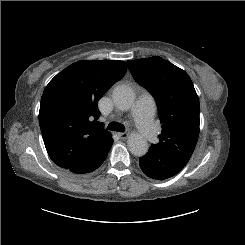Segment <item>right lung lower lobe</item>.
<instances>
[{"label": "right lung lower lobe", "instance_id": "98d812e1", "mask_svg": "<svg viewBox=\"0 0 245 245\" xmlns=\"http://www.w3.org/2000/svg\"><path fill=\"white\" fill-rule=\"evenodd\" d=\"M112 144L113 139L110 135L98 144L81 163L66 170L74 175H84L96 170L106 159Z\"/></svg>", "mask_w": 245, "mask_h": 245}]
</instances>
